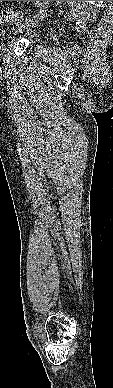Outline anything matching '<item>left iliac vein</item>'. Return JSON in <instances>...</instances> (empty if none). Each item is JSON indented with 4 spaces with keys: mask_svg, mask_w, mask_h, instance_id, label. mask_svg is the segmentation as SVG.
I'll return each mask as SVG.
<instances>
[{
    "mask_svg": "<svg viewBox=\"0 0 113 388\" xmlns=\"http://www.w3.org/2000/svg\"><path fill=\"white\" fill-rule=\"evenodd\" d=\"M48 6H49V1H42V4L39 7L37 13L33 17L26 19L24 24H22L21 26H18L16 28L15 32L20 33L24 30H28L31 27L37 25L39 23V21L42 20L46 16Z\"/></svg>",
    "mask_w": 113,
    "mask_h": 388,
    "instance_id": "1",
    "label": "left iliac vein"
}]
</instances>
